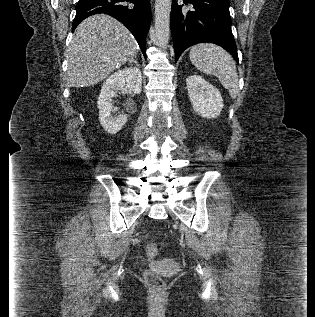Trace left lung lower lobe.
I'll list each match as a JSON object with an SVG mask.
<instances>
[{
	"label": "left lung lower lobe",
	"instance_id": "left-lung-lower-lobe-1",
	"mask_svg": "<svg viewBox=\"0 0 315 317\" xmlns=\"http://www.w3.org/2000/svg\"><path fill=\"white\" fill-rule=\"evenodd\" d=\"M192 10H185L173 0L170 27L175 61L188 47L202 42L217 44L238 62L236 43L231 31L229 0H189Z\"/></svg>",
	"mask_w": 315,
	"mask_h": 317
}]
</instances>
